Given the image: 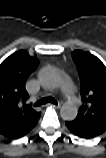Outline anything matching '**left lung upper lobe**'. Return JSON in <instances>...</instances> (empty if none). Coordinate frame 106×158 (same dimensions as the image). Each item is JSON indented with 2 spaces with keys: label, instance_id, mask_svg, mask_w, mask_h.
I'll return each mask as SVG.
<instances>
[{
  "label": "left lung upper lobe",
  "instance_id": "left-lung-upper-lobe-1",
  "mask_svg": "<svg viewBox=\"0 0 106 158\" xmlns=\"http://www.w3.org/2000/svg\"><path fill=\"white\" fill-rule=\"evenodd\" d=\"M81 81L83 104L77 117L67 122L83 138H93L106 131V67L94 55L81 50L72 52Z\"/></svg>",
  "mask_w": 106,
  "mask_h": 158
}]
</instances>
